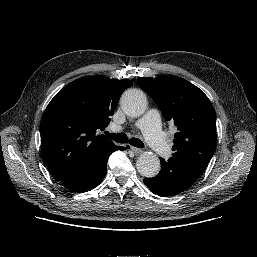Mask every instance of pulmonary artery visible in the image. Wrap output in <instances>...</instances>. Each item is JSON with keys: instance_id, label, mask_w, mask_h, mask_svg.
<instances>
[{"instance_id": "e3ab8cb5", "label": "pulmonary artery", "mask_w": 257, "mask_h": 257, "mask_svg": "<svg viewBox=\"0 0 257 257\" xmlns=\"http://www.w3.org/2000/svg\"><path fill=\"white\" fill-rule=\"evenodd\" d=\"M137 126L141 129L148 144L158 156L167 157L170 155L171 148L165 138L164 132L161 130L159 113L156 110L148 111L137 122Z\"/></svg>"}]
</instances>
